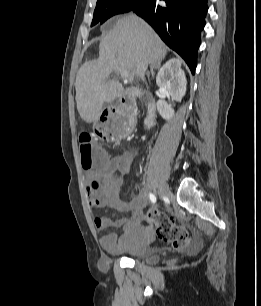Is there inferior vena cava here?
I'll return each mask as SVG.
<instances>
[{
  "instance_id": "602c4592",
  "label": "inferior vena cava",
  "mask_w": 261,
  "mask_h": 306,
  "mask_svg": "<svg viewBox=\"0 0 261 306\" xmlns=\"http://www.w3.org/2000/svg\"><path fill=\"white\" fill-rule=\"evenodd\" d=\"M147 68H148V62L146 59H143L137 66V74L143 81H145V74Z\"/></svg>"
}]
</instances>
